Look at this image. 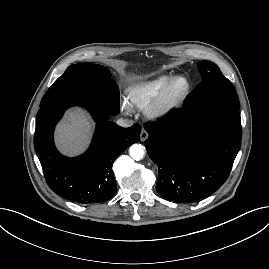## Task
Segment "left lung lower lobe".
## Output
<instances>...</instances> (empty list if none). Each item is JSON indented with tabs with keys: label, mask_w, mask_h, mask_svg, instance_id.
<instances>
[{
	"label": "left lung lower lobe",
	"mask_w": 269,
	"mask_h": 269,
	"mask_svg": "<svg viewBox=\"0 0 269 269\" xmlns=\"http://www.w3.org/2000/svg\"><path fill=\"white\" fill-rule=\"evenodd\" d=\"M145 129L144 144L159 169L156 190L179 203L203 199L223 185L242 137L239 108L227 106L179 110Z\"/></svg>",
	"instance_id": "obj_1"
}]
</instances>
